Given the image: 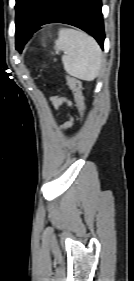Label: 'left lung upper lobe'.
I'll return each mask as SVG.
<instances>
[{
    "instance_id": "1",
    "label": "left lung upper lobe",
    "mask_w": 134,
    "mask_h": 281,
    "mask_svg": "<svg viewBox=\"0 0 134 281\" xmlns=\"http://www.w3.org/2000/svg\"><path fill=\"white\" fill-rule=\"evenodd\" d=\"M42 0H16V31L23 30Z\"/></svg>"
}]
</instances>
